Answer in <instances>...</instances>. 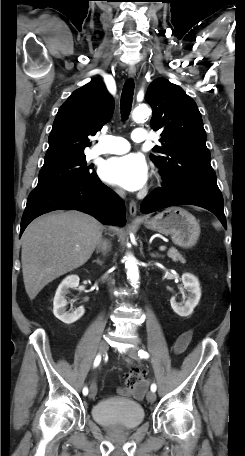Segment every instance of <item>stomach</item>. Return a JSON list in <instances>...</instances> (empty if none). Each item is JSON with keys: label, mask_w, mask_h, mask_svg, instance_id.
Here are the masks:
<instances>
[{"label": "stomach", "mask_w": 245, "mask_h": 456, "mask_svg": "<svg viewBox=\"0 0 245 456\" xmlns=\"http://www.w3.org/2000/svg\"><path fill=\"white\" fill-rule=\"evenodd\" d=\"M147 229L170 235L172 241L183 248L194 246L200 235L196 218L181 207H171L143 221Z\"/></svg>", "instance_id": "0dacf381"}]
</instances>
